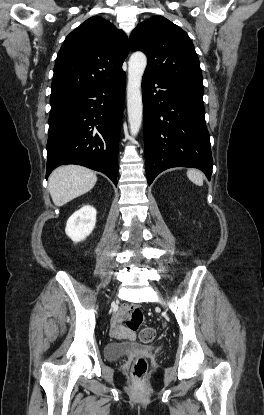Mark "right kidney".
<instances>
[{"label":"right kidney","mask_w":264,"mask_h":415,"mask_svg":"<svg viewBox=\"0 0 264 415\" xmlns=\"http://www.w3.org/2000/svg\"><path fill=\"white\" fill-rule=\"evenodd\" d=\"M96 209L84 205L74 212L67 221L65 232L74 242H80L88 237L96 224Z\"/></svg>","instance_id":"obj_1"}]
</instances>
